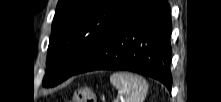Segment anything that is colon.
Masks as SVG:
<instances>
[{
    "instance_id": "1",
    "label": "colon",
    "mask_w": 221,
    "mask_h": 102,
    "mask_svg": "<svg viewBox=\"0 0 221 102\" xmlns=\"http://www.w3.org/2000/svg\"><path fill=\"white\" fill-rule=\"evenodd\" d=\"M72 102H97V99L91 89L79 88L75 91Z\"/></svg>"
}]
</instances>
